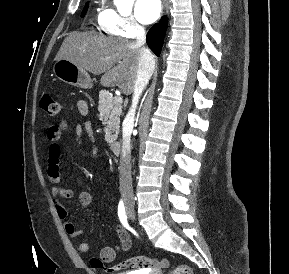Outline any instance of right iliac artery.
I'll use <instances>...</instances> for the list:
<instances>
[{
    "mask_svg": "<svg viewBox=\"0 0 289 274\" xmlns=\"http://www.w3.org/2000/svg\"><path fill=\"white\" fill-rule=\"evenodd\" d=\"M118 216H119V219H120V222L122 223V225L125 228L129 229V225L127 222V215H126L124 203L122 200H120V202L118 204Z\"/></svg>",
    "mask_w": 289,
    "mask_h": 274,
    "instance_id": "1",
    "label": "right iliac artery"
}]
</instances>
